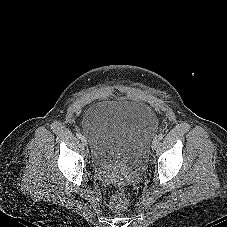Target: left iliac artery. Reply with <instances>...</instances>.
I'll return each instance as SVG.
<instances>
[{"label":"left iliac artery","mask_w":227,"mask_h":227,"mask_svg":"<svg viewBox=\"0 0 227 227\" xmlns=\"http://www.w3.org/2000/svg\"><path fill=\"white\" fill-rule=\"evenodd\" d=\"M163 137H164V135H163L162 133H160V134L158 135L159 140L163 139Z\"/></svg>","instance_id":"obj_1"}]
</instances>
